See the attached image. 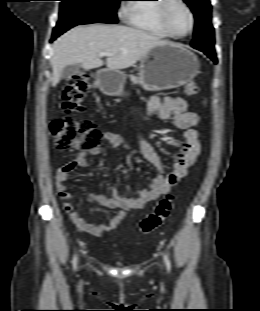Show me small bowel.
Here are the masks:
<instances>
[{
	"label": "small bowel",
	"mask_w": 260,
	"mask_h": 311,
	"mask_svg": "<svg viewBox=\"0 0 260 311\" xmlns=\"http://www.w3.org/2000/svg\"><path fill=\"white\" fill-rule=\"evenodd\" d=\"M147 116L150 121L158 123L172 118L175 127L184 130V145L177 155L173 169L166 173L157 153L149 145L142 132H136L134 139L136 143L135 152L145 158L158 171L151 181L149 188L139 192L136 198H126L121 195L117 188H111V197L91 193L90 197L99 205L107 208L120 209L108 222L91 223L74 210L71 194L67 191L66 182L70 174L77 168L88 167V162L81 156H77L60 166L55 174V187L59 198L63 201V209L68 214L73 224L81 231L91 234H99L100 231L110 232L126 218L127 211L143 208L148 202L156 200L163 194L168 193L180 179L188 174L189 168L201 153L196 126L199 122L197 113L188 110L187 102L181 97L152 96L147 103ZM102 141L113 147L129 148L131 144L120 135L105 131L102 133ZM101 148L96 147L89 153L94 156L101 154ZM129 164L131 161L129 160Z\"/></svg>",
	"instance_id": "obj_1"
}]
</instances>
